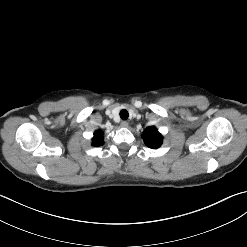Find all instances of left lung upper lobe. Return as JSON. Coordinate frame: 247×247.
Returning <instances> with one entry per match:
<instances>
[{"instance_id": "5c2ea615", "label": "left lung upper lobe", "mask_w": 247, "mask_h": 247, "mask_svg": "<svg viewBox=\"0 0 247 247\" xmlns=\"http://www.w3.org/2000/svg\"><path fill=\"white\" fill-rule=\"evenodd\" d=\"M142 138L145 144L152 149H157L162 145V135L158 132L156 127L146 128Z\"/></svg>"}]
</instances>
